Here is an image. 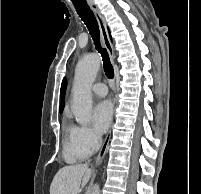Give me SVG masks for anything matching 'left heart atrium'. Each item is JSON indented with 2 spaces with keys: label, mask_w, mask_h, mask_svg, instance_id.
Returning a JSON list of instances; mask_svg holds the SVG:
<instances>
[{
  "label": "left heart atrium",
  "mask_w": 201,
  "mask_h": 194,
  "mask_svg": "<svg viewBox=\"0 0 201 194\" xmlns=\"http://www.w3.org/2000/svg\"><path fill=\"white\" fill-rule=\"evenodd\" d=\"M112 116V104L107 100L99 102L94 107L92 115L95 129L100 133H104L111 123Z\"/></svg>",
  "instance_id": "39dd6f15"
}]
</instances>
